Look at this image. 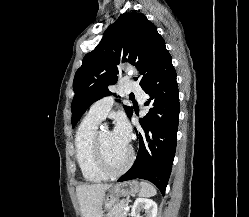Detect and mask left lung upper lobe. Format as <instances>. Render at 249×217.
Wrapping results in <instances>:
<instances>
[{
  "label": "left lung upper lobe",
  "mask_w": 249,
  "mask_h": 217,
  "mask_svg": "<svg viewBox=\"0 0 249 217\" xmlns=\"http://www.w3.org/2000/svg\"><path fill=\"white\" fill-rule=\"evenodd\" d=\"M169 55L164 39L144 14H122L107 28L96 48L85 55L75 74L72 126L93 102L110 94L108 86L117 82L120 61L135 65L143 74L140 86L144 90ZM124 108L130 117L133 108Z\"/></svg>",
  "instance_id": "obj_1"
}]
</instances>
